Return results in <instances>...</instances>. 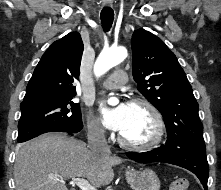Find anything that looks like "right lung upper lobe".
Segmentation results:
<instances>
[{
	"label": "right lung upper lobe",
	"mask_w": 221,
	"mask_h": 190,
	"mask_svg": "<svg viewBox=\"0 0 221 190\" xmlns=\"http://www.w3.org/2000/svg\"><path fill=\"white\" fill-rule=\"evenodd\" d=\"M83 48L77 32L52 43L36 66L20 106L74 97V82L79 78Z\"/></svg>",
	"instance_id": "1"
}]
</instances>
